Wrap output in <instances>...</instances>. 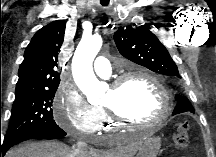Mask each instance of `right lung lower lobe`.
Masks as SVG:
<instances>
[{"label": "right lung lower lobe", "mask_w": 216, "mask_h": 157, "mask_svg": "<svg viewBox=\"0 0 216 157\" xmlns=\"http://www.w3.org/2000/svg\"><path fill=\"white\" fill-rule=\"evenodd\" d=\"M65 135L66 133L61 128L29 133L23 137L17 138L15 140L0 145V157H4L8 149L19 142L30 139H58L64 137Z\"/></svg>", "instance_id": "98d812e1"}]
</instances>
